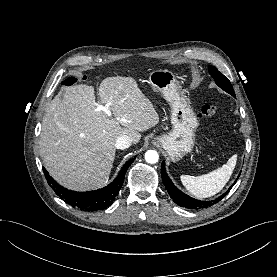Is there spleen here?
I'll use <instances>...</instances> for the list:
<instances>
[{"mask_svg":"<svg viewBox=\"0 0 277 277\" xmlns=\"http://www.w3.org/2000/svg\"><path fill=\"white\" fill-rule=\"evenodd\" d=\"M237 161L233 155L222 167L201 176L181 175L185 188L199 199L211 197L220 192L229 181Z\"/></svg>","mask_w":277,"mask_h":277,"instance_id":"1","label":"spleen"}]
</instances>
